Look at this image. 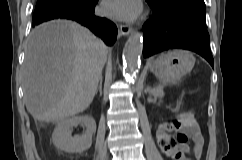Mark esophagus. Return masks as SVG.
Returning <instances> with one entry per match:
<instances>
[{
	"mask_svg": "<svg viewBox=\"0 0 242 160\" xmlns=\"http://www.w3.org/2000/svg\"><path fill=\"white\" fill-rule=\"evenodd\" d=\"M131 31H132V27L129 26V25L121 24L119 26V32L122 35L127 36V35H129L131 33Z\"/></svg>",
	"mask_w": 242,
	"mask_h": 160,
	"instance_id": "1",
	"label": "esophagus"
}]
</instances>
